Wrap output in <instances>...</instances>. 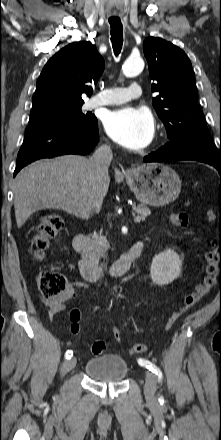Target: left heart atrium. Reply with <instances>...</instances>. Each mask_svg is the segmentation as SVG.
I'll return each instance as SVG.
<instances>
[{"label": "left heart atrium", "instance_id": "39dd6f15", "mask_svg": "<svg viewBox=\"0 0 221 440\" xmlns=\"http://www.w3.org/2000/svg\"><path fill=\"white\" fill-rule=\"evenodd\" d=\"M108 135L129 149L145 147L152 139L154 122L144 108L125 107L110 112L104 121Z\"/></svg>", "mask_w": 221, "mask_h": 440}]
</instances>
